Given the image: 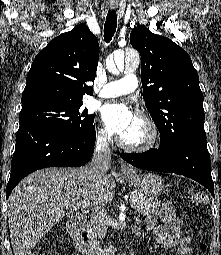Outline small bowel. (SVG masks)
Returning <instances> with one entry per match:
<instances>
[{
    "mask_svg": "<svg viewBox=\"0 0 221 255\" xmlns=\"http://www.w3.org/2000/svg\"><path fill=\"white\" fill-rule=\"evenodd\" d=\"M145 226L160 244L175 249L177 255H192L191 238L183 230L182 222L171 203L164 204L159 215L148 216L145 219Z\"/></svg>",
    "mask_w": 221,
    "mask_h": 255,
    "instance_id": "small-bowel-1",
    "label": "small bowel"
}]
</instances>
